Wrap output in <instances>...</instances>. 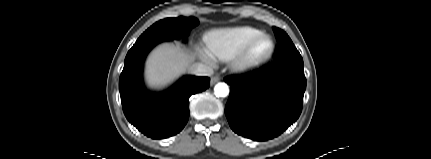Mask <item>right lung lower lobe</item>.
<instances>
[{
    "label": "right lung lower lobe",
    "instance_id": "right-lung-lower-lobe-1",
    "mask_svg": "<svg viewBox=\"0 0 431 159\" xmlns=\"http://www.w3.org/2000/svg\"><path fill=\"white\" fill-rule=\"evenodd\" d=\"M160 42L135 43L127 53L119 81L126 118L152 139H165L182 131L189 118V97L210 86L208 77L184 76L165 91L147 90L142 78L143 63L149 51Z\"/></svg>",
    "mask_w": 431,
    "mask_h": 159
}]
</instances>
